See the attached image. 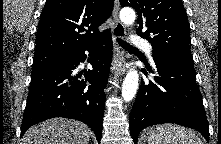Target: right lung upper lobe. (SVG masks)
Here are the masks:
<instances>
[{"label": "right lung upper lobe", "mask_w": 221, "mask_h": 144, "mask_svg": "<svg viewBox=\"0 0 221 144\" xmlns=\"http://www.w3.org/2000/svg\"><path fill=\"white\" fill-rule=\"evenodd\" d=\"M113 0H47L39 22L34 54L68 55L109 30L99 32L113 9Z\"/></svg>", "instance_id": "right-lung-upper-lobe-1"}]
</instances>
